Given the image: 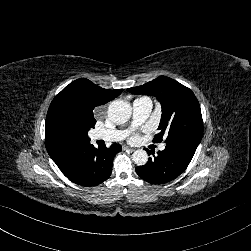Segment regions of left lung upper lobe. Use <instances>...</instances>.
Segmentation results:
<instances>
[{"instance_id": "left-lung-upper-lobe-1", "label": "left lung upper lobe", "mask_w": 251, "mask_h": 251, "mask_svg": "<svg viewBox=\"0 0 251 251\" xmlns=\"http://www.w3.org/2000/svg\"><path fill=\"white\" fill-rule=\"evenodd\" d=\"M132 94L155 96L162 106V117L154 142L165 136L166 144L183 142L198 146L203 135V120L194 93L179 82L160 76L142 86L128 88Z\"/></svg>"}]
</instances>
